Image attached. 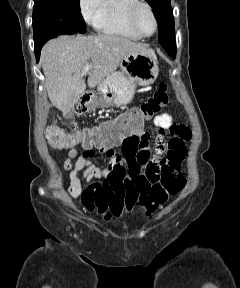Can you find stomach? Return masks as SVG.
Masks as SVG:
<instances>
[{
	"label": "stomach",
	"mask_w": 240,
	"mask_h": 288,
	"mask_svg": "<svg viewBox=\"0 0 240 288\" xmlns=\"http://www.w3.org/2000/svg\"><path fill=\"white\" fill-rule=\"evenodd\" d=\"M120 71L108 75L98 86V95L93 96L89 107L121 106L129 103L137 85L152 84L159 72L156 56L132 52L123 57Z\"/></svg>",
	"instance_id": "obj_1"
}]
</instances>
